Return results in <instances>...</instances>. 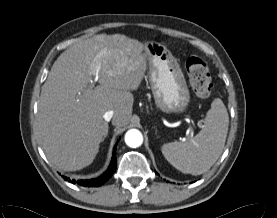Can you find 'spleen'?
<instances>
[{
    "mask_svg": "<svg viewBox=\"0 0 277 218\" xmlns=\"http://www.w3.org/2000/svg\"><path fill=\"white\" fill-rule=\"evenodd\" d=\"M202 130L185 142L162 145L165 159L185 174L201 175L207 172L220 157L229 126V116L223 101L216 98L204 118Z\"/></svg>",
    "mask_w": 277,
    "mask_h": 218,
    "instance_id": "obj_1",
    "label": "spleen"
}]
</instances>
